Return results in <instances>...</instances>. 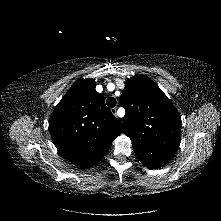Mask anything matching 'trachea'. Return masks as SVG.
<instances>
[{
	"instance_id": "trachea-1",
	"label": "trachea",
	"mask_w": 221,
	"mask_h": 221,
	"mask_svg": "<svg viewBox=\"0 0 221 221\" xmlns=\"http://www.w3.org/2000/svg\"><path fill=\"white\" fill-rule=\"evenodd\" d=\"M116 99L114 97H109L107 100H106V104L108 107L110 108H113L116 106Z\"/></svg>"
}]
</instances>
